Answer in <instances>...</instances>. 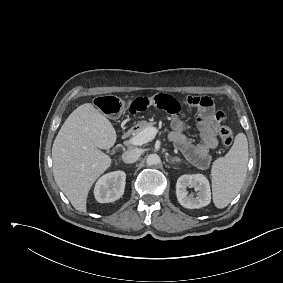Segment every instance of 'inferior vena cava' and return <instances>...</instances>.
<instances>
[{"mask_svg":"<svg viewBox=\"0 0 283 283\" xmlns=\"http://www.w3.org/2000/svg\"><path fill=\"white\" fill-rule=\"evenodd\" d=\"M140 155V149H129L122 154V159L125 163H134L139 159Z\"/></svg>","mask_w":283,"mask_h":283,"instance_id":"602c4592","label":"inferior vena cava"}]
</instances>
